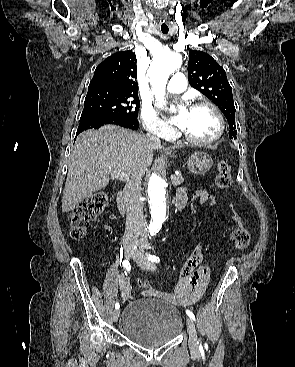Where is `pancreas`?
<instances>
[{
  "mask_svg": "<svg viewBox=\"0 0 295 367\" xmlns=\"http://www.w3.org/2000/svg\"><path fill=\"white\" fill-rule=\"evenodd\" d=\"M174 186H178L183 183L184 178L181 174L175 175V178L171 179Z\"/></svg>",
  "mask_w": 295,
  "mask_h": 367,
  "instance_id": "cf45deb5",
  "label": "pancreas"
}]
</instances>
